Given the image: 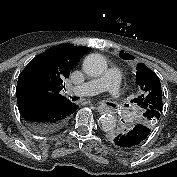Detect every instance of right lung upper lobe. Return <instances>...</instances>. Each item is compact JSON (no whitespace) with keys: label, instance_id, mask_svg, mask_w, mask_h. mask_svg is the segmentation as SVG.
Here are the masks:
<instances>
[{"label":"right lung upper lobe","instance_id":"obj_1","mask_svg":"<svg viewBox=\"0 0 177 177\" xmlns=\"http://www.w3.org/2000/svg\"><path fill=\"white\" fill-rule=\"evenodd\" d=\"M88 51V47L61 44L33 58L18 77L17 99L72 103L60 91L65 87L64 80Z\"/></svg>","mask_w":177,"mask_h":177}]
</instances>
